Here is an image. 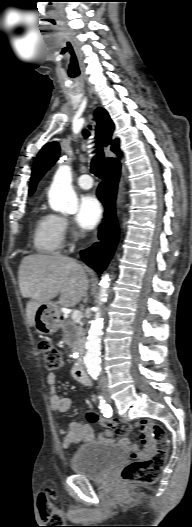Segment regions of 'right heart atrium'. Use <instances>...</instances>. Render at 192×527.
I'll use <instances>...</instances> for the list:
<instances>
[{
  "label": "right heart atrium",
  "mask_w": 192,
  "mask_h": 527,
  "mask_svg": "<svg viewBox=\"0 0 192 527\" xmlns=\"http://www.w3.org/2000/svg\"><path fill=\"white\" fill-rule=\"evenodd\" d=\"M59 224L63 232V235H66L70 232V224L66 218L59 217Z\"/></svg>",
  "instance_id": "obj_1"
}]
</instances>
